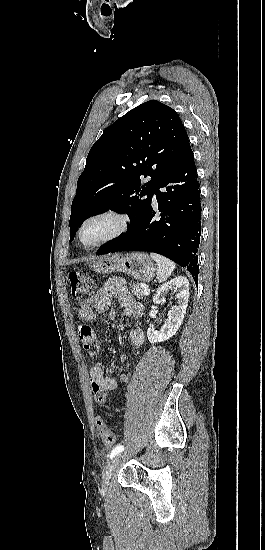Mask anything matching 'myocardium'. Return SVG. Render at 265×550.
Returning a JSON list of instances; mask_svg holds the SVG:
<instances>
[{
	"label": "myocardium",
	"instance_id": "myocardium-1",
	"mask_svg": "<svg viewBox=\"0 0 265 550\" xmlns=\"http://www.w3.org/2000/svg\"><path fill=\"white\" fill-rule=\"evenodd\" d=\"M104 218L111 220V222H112L111 230L105 236L100 238L99 240H97L93 243L85 244L82 241V234H83L84 230L92 222H94L98 219H104ZM129 226H130V218L126 214H124V213H122L118 210H115V209L101 210V211H98V212H95V213L91 214L90 216H88L87 218H85L82 221V223L80 224V226L78 227V229L76 231V240H77V243L82 248H84V249H93V248L108 244V243L116 240L117 238L122 236L128 230Z\"/></svg>",
	"mask_w": 265,
	"mask_h": 550
}]
</instances>
